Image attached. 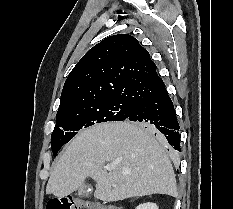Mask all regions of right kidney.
I'll return each instance as SVG.
<instances>
[{
	"label": "right kidney",
	"instance_id": "right-kidney-1",
	"mask_svg": "<svg viewBox=\"0 0 233 209\" xmlns=\"http://www.w3.org/2000/svg\"><path fill=\"white\" fill-rule=\"evenodd\" d=\"M136 209H158V206L155 203L147 202L140 204Z\"/></svg>",
	"mask_w": 233,
	"mask_h": 209
}]
</instances>
